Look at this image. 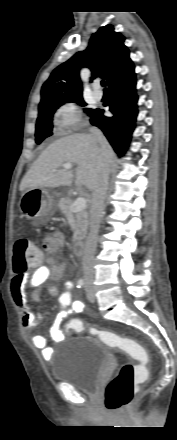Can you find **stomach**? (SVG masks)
Here are the masks:
<instances>
[{"instance_id":"0dacf381","label":"stomach","mask_w":177,"mask_h":440,"mask_svg":"<svg viewBox=\"0 0 177 440\" xmlns=\"http://www.w3.org/2000/svg\"><path fill=\"white\" fill-rule=\"evenodd\" d=\"M19 208L25 217L39 223L47 222L56 211L53 197L45 188L27 189L21 196Z\"/></svg>"}]
</instances>
